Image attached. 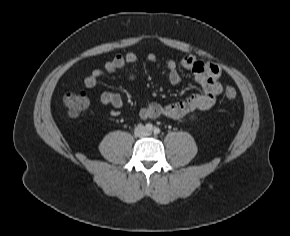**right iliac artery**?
<instances>
[{
  "label": "right iliac artery",
  "instance_id": "obj_1",
  "mask_svg": "<svg viewBox=\"0 0 290 236\" xmlns=\"http://www.w3.org/2000/svg\"><path fill=\"white\" fill-rule=\"evenodd\" d=\"M145 128H146V130H148V131H152V130H153V125H152L151 123H147V124L145 125Z\"/></svg>",
  "mask_w": 290,
  "mask_h": 236
}]
</instances>
